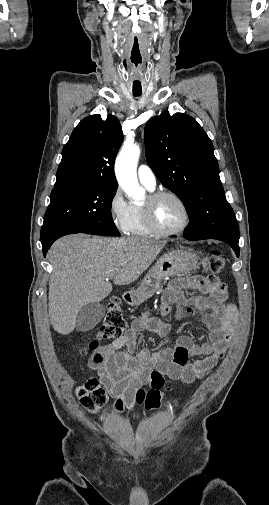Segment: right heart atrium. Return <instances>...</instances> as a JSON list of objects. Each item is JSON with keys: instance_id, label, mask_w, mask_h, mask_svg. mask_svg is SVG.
<instances>
[{"instance_id": "1", "label": "right heart atrium", "mask_w": 269, "mask_h": 505, "mask_svg": "<svg viewBox=\"0 0 269 505\" xmlns=\"http://www.w3.org/2000/svg\"><path fill=\"white\" fill-rule=\"evenodd\" d=\"M108 213L114 227L126 233L131 218V205L125 199L121 188L117 187L108 201Z\"/></svg>"}]
</instances>
